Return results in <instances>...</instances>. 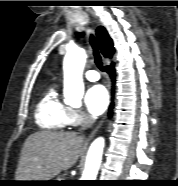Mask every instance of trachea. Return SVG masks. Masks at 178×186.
Here are the masks:
<instances>
[{
    "label": "trachea",
    "instance_id": "trachea-1",
    "mask_svg": "<svg viewBox=\"0 0 178 186\" xmlns=\"http://www.w3.org/2000/svg\"><path fill=\"white\" fill-rule=\"evenodd\" d=\"M90 44L92 46V49H93V55H94V59H95V63L97 65V67L103 71L104 68H103V62H102V59H101V56L98 52V48L96 46V43H95V40H94V36L91 34L90 35Z\"/></svg>",
    "mask_w": 178,
    "mask_h": 186
}]
</instances>
